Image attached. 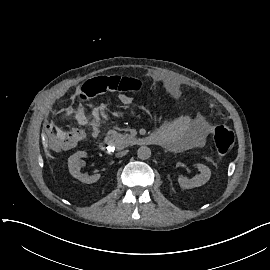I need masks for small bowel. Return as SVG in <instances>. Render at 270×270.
<instances>
[{
  "label": "small bowel",
  "mask_w": 270,
  "mask_h": 270,
  "mask_svg": "<svg viewBox=\"0 0 270 270\" xmlns=\"http://www.w3.org/2000/svg\"><path fill=\"white\" fill-rule=\"evenodd\" d=\"M151 77L162 82L174 97L179 98L182 95V85L174 77L158 72L152 73ZM118 98L123 105L132 103V97L127 94H120ZM209 131L208 122L203 116L198 115L192 120L175 119L165 122L155 133L160 137L164 148L171 152H182L202 147ZM45 136L55 151L71 150L79 140L70 132L63 133L57 125L49 126Z\"/></svg>",
  "instance_id": "small-bowel-1"
}]
</instances>
